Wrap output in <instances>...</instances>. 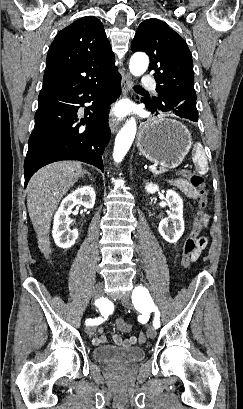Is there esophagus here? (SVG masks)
Here are the masks:
<instances>
[{"label": "esophagus", "mask_w": 243, "mask_h": 409, "mask_svg": "<svg viewBox=\"0 0 243 409\" xmlns=\"http://www.w3.org/2000/svg\"><path fill=\"white\" fill-rule=\"evenodd\" d=\"M131 86H132V77L129 73H126L122 78V84H121L122 96H126L129 94L131 90ZM120 127H121V123L115 118H112L110 122L111 132L116 133Z\"/></svg>", "instance_id": "obj_1"}]
</instances>
